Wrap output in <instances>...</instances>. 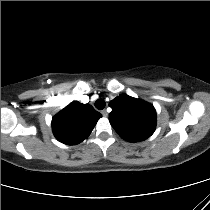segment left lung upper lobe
<instances>
[{
  "label": "left lung upper lobe",
  "mask_w": 210,
  "mask_h": 210,
  "mask_svg": "<svg viewBox=\"0 0 210 210\" xmlns=\"http://www.w3.org/2000/svg\"><path fill=\"white\" fill-rule=\"evenodd\" d=\"M109 106V121L116 132L126 141L139 142L150 137L156 127V111L150 103L119 95Z\"/></svg>",
  "instance_id": "obj_1"
}]
</instances>
